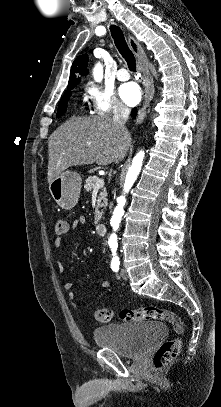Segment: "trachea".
<instances>
[{
	"instance_id": "1",
	"label": "trachea",
	"mask_w": 221,
	"mask_h": 407,
	"mask_svg": "<svg viewBox=\"0 0 221 407\" xmlns=\"http://www.w3.org/2000/svg\"><path fill=\"white\" fill-rule=\"evenodd\" d=\"M110 31L118 51L128 64L129 70L135 72L136 60L125 40L122 30L116 25H111Z\"/></svg>"
}]
</instances>
